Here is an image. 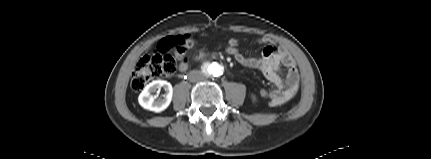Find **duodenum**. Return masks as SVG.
<instances>
[{
	"label": "duodenum",
	"mask_w": 431,
	"mask_h": 159,
	"mask_svg": "<svg viewBox=\"0 0 431 159\" xmlns=\"http://www.w3.org/2000/svg\"><path fill=\"white\" fill-rule=\"evenodd\" d=\"M205 54L204 53H198L197 55H196V58H201V57H203Z\"/></svg>",
	"instance_id": "duodenum-1"
}]
</instances>
